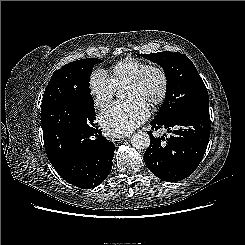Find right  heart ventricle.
I'll use <instances>...</instances> for the list:
<instances>
[{"instance_id": "right-heart-ventricle-1", "label": "right heart ventricle", "mask_w": 245, "mask_h": 245, "mask_svg": "<svg viewBox=\"0 0 245 245\" xmlns=\"http://www.w3.org/2000/svg\"><path fill=\"white\" fill-rule=\"evenodd\" d=\"M149 64L136 58H125L112 65L107 76L115 86V88L126 85L134 76Z\"/></svg>"}]
</instances>
